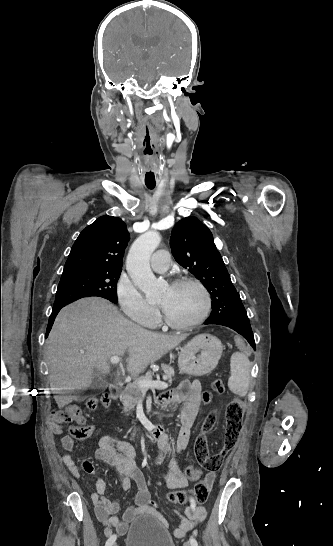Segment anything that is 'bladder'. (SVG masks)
I'll return each instance as SVG.
<instances>
[{"instance_id":"obj_1","label":"bladder","mask_w":333,"mask_h":546,"mask_svg":"<svg viewBox=\"0 0 333 546\" xmlns=\"http://www.w3.org/2000/svg\"><path fill=\"white\" fill-rule=\"evenodd\" d=\"M126 546H175V542L155 517L142 515L127 528Z\"/></svg>"}]
</instances>
